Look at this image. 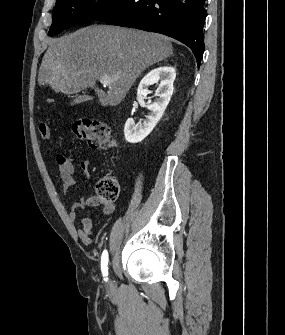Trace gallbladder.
Here are the masks:
<instances>
[{
	"label": "gallbladder",
	"instance_id": "1",
	"mask_svg": "<svg viewBox=\"0 0 285 335\" xmlns=\"http://www.w3.org/2000/svg\"><path fill=\"white\" fill-rule=\"evenodd\" d=\"M76 104H81V98H75V100L71 102V106H76Z\"/></svg>",
	"mask_w": 285,
	"mask_h": 335
}]
</instances>
